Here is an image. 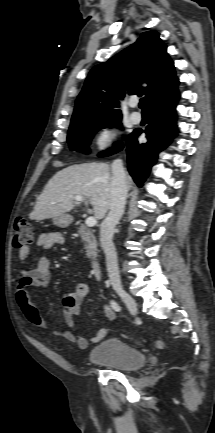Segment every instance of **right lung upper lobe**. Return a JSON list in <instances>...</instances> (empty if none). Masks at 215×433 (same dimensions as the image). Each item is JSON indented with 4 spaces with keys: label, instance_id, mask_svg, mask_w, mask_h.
Listing matches in <instances>:
<instances>
[{
    "label": "right lung upper lobe",
    "instance_id": "obj_1",
    "mask_svg": "<svg viewBox=\"0 0 215 433\" xmlns=\"http://www.w3.org/2000/svg\"><path fill=\"white\" fill-rule=\"evenodd\" d=\"M159 33L147 31L130 47L95 66L79 94L72 124L121 117L118 99L140 92L147 103L178 84L174 64ZM147 83V87H141Z\"/></svg>",
    "mask_w": 215,
    "mask_h": 433
}]
</instances>
